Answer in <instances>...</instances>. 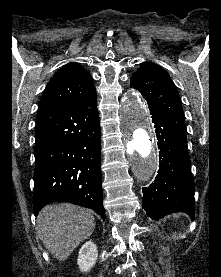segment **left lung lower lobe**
<instances>
[{"mask_svg": "<svg viewBox=\"0 0 221 277\" xmlns=\"http://www.w3.org/2000/svg\"><path fill=\"white\" fill-rule=\"evenodd\" d=\"M149 110L160 149L159 170L154 182L142 189V207L153 220L173 212H185L194 220L195 188L189 168L187 134L156 108L149 106Z\"/></svg>", "mask_w": 221, "mask_h": 277, "instance_id": "0a47b994", "label": "left lung lower lobe"}]
</instances>
